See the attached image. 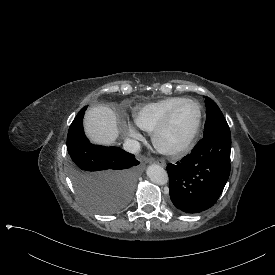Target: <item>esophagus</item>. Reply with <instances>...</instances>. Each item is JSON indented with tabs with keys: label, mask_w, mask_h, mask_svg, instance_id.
Instances as JSON below:
<instances>
[{
	"label": "esophagus",
	"mask_w": 275,
	"mask_h": 275,
	"mask_svg": "<svg viewBox=\"0 0 275 275\" xmlns=\"http://www.w3.org/2000/svg\"><path fill=\"white\" fill-rule=\"evenodd\" d=\"M146 162H149V161L146 160ZM155 163L158 164V165H160V166H162V167L166 166V162L163 159H158V160L155 161Z\"/></svg>",
	"instance_id": "1"
}]
</instances>
